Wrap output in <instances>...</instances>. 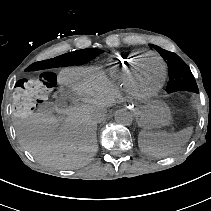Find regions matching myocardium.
Listing matches in <instances>:
<instances>
[{"instance_id": "1", "label": "myocardium", "mask_w": 211, "mask_h": 211, "mask_svg": "<svg viewBox=\"0 0 211 211\" xmlns=\"http://www.w3.org/2000/svg\"><path fill=\"white\" fill-rule=\"evenodd\" d=\"M153 59H155L160 64V68H161L160 80H159L158 84L155 85L154 87L147 88L144 85L142 72L139 71V73H136L132 77L131 84H132V91H133L134 95L137 96L138 98L145 99V98L153 97L162 88L164 78H165V71H166L165 65L159 57H154ZM148 61H149V59H144L140 64V68L145 69Z\"/></svg>"}]
</instances>
